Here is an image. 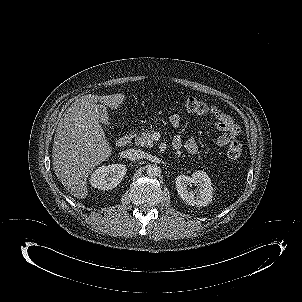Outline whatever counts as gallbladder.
<instances>
[{
    "label": "gallbladder",
    "instance_id": "bac80fb5",
    "mask_svg": "<svg viewBox=\"0 0 302 302\" xmlns=\"http://www.w3.org/2000/svg\"><path fill=\"white\" fill-rule=\"evenodd\" d=\"M99 113H100V117H101V122L108 127L110 125V120H109L107 108L100 106Z\"/></svg>",
    "mask_w": 302,
    "mask_h": 302
}]
</instances>
